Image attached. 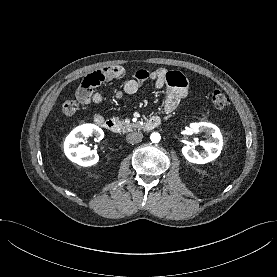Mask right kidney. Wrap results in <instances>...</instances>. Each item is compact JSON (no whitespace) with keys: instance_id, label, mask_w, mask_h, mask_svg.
<instances>
[{"instance_id":"right-kidney-1","label":"right kidney","mask_w":277,"mask_h":277,"mask_svg":"<svg viewBox=\"0 0 277 277\" xmlns=\"http://www.w3.org/2000/svg\"><path fill=\"white\" fill-rule=\"evenodd\" d=\"M95 136V141L99 142L104 137L101 128L94 124H83L71 131L64 142V152L72 162L88 167L99 161V156L95 151H90L85 145L79 144L83 141V137Z\"/></svg>"}]
</instances>
